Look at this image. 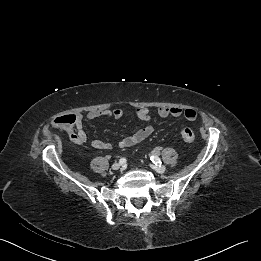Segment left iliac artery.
I'll return each instance as SVG.
<instances>
[{
    "mask_svg": "<svg viewBox=\"0 0 261 261\" xmlns=\"http://www.w3.org/2000/svg\"><path fill=\"white\" fill-rule=\"evenodd\" d=\"M150 159H151V161L155 164V165H161V160H160V158L158 157V156H156V155H152L151 157H150Z\"/></svg>",
    "mask_w": 261,
    "mask_h": 261,
    "instance_id": "left-iliac-artery-1",
    "label": "left iliac artery"
}]
</instances>
